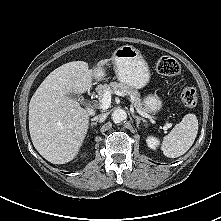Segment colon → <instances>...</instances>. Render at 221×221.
Masks as SVG:
<instances>
[{"mask_svg":"<svg viewBox=\"0 0 221 221\" xmlns=\"http://www.w3.org/2000/svg\"><path fill=\"white\" fill-rule=\"evenodd\" d=\"M157 71L164 76H175L180 72L178 61L170 56H162L156 64ZM181 101L187 108H194L198 103L197 91L192 87H185L181 92Z\"/></svg>","mask_w":221,"mask_h":221,"instance_id":"colon-1","label":"colon"}]
</instances>
